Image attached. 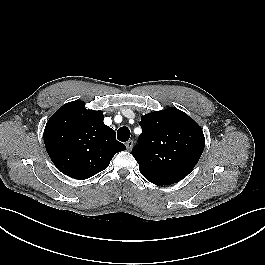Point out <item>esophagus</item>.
<instances>
[{"label":"esophagus","mask_w":265,"mask_h":265,"mask_svg":"<svg viewBox=\"0 0 265 265\" xmlns=\"http://www.w3.org/2000/svg\"><path fill=\"white\" fill-rule=\"evenodd\" d=\"M126 147H127V150H131L132 147H133V141L132 140H129L126 142Z\"/></svg>","instance_id":"1"}]
</instances>
